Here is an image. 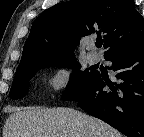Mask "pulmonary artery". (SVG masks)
<instances>
[{"label": "pulmonary artery", "instance_id": "e3ab8cb5", "mask_svg": "<svg viewBox=\"0 0 144 137\" xmlns=\"http://www.w3.org/2000/svg\"><path fill=\"white\" fill-rule=\"evenodd\" d=\"M90 47L92 46V43L89 44ZM88 60L90 63H96L99 60V56L96 53H89Z\"/></svg>", "mask_w": 144, "mask_h": 137}]
</instances>
